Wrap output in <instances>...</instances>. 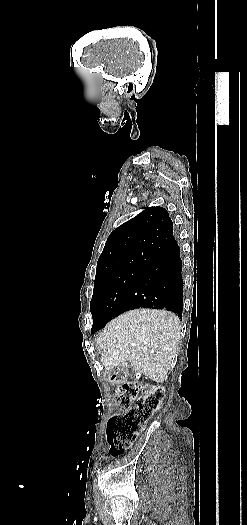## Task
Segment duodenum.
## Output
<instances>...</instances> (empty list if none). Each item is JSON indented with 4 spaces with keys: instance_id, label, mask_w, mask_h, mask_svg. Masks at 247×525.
<instances>
[{
    "instance_id": "410a0bca",
    "label": "duodenum",
    "mask_w": 247,
    "mask_h": 525,
    "mask_svg": "<svg viewBox=\"0 0 247 525\" xmlns=\"http://www.w3.org/2000/svg\"><path fill=\"white\" fill-rule=\"evenodd\" d=\"M117 376H119V373H115V374L112 376L113 380H115V379H116L115 377H117Z\"/></svg>"
}]
</instances>
